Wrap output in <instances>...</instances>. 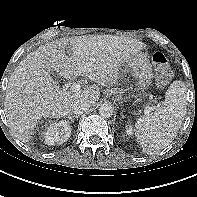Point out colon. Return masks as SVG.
Masks as SVG:
<instances>
[{
	"mask_svg": "<svg viewBox=\"0 0 197 197\" xmlns=\"http://www.w3.org/2000/svg\"><path fill=\"white\" fill-rule=\"evenodd\" d=\"M151 61L155 66L157 81L160 86H165L171 79V70L166 56L159 51L151 53Z\"/></svg>",
	"mask_w": 197,
	"mask_h": 197,
	"instance_id": "colon-1",
	"label": "colon"
}]
</instances>
